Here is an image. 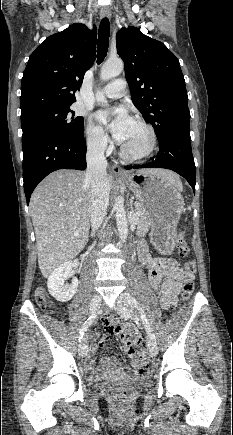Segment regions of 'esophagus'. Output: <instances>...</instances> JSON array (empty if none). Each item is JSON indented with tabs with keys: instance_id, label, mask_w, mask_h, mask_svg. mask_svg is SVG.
<instances>
[{
	"instance_id": "obj_1",
	"label": "esophagus",
	"mask_w": 233,
	"mask_h": 435,
	"mask_svg": "<svg viewBox=\"0 0 233 435\" xmlns=\"http://www.w3.org/2000/svg\"><path fill=\"white\" fill-rule=\"evenodd\" d=\"M101 18H111V10L108 6H104L101 9ZM112 172L115 175H119V176H125V172L121 169V167L115 163L112 165Z\"/></svg>"
}]
</instances>
